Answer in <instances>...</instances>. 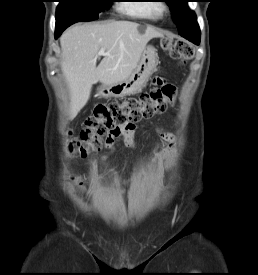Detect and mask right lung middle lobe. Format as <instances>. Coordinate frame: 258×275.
<instances>
[{
  "label": "right lung middle lobe",
  "instance_id": "dd1d6c3e",
  "mask_svg": "<svg viewBox=\"0 0 258 275\" xmlns=\"http://www.w3.org/2000/svg\"><path fill=\"white\" fill-rule=\"evenodd\" d=\"M112 0H60L56 10V22L92 21L111 6Z\"/></svg>",
  "mask_w": 258,
  "mask_h": 275
}]
</instances>
